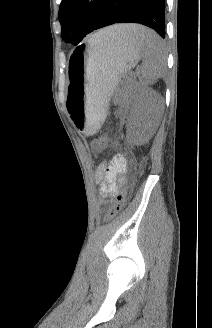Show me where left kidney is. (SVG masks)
<instances>
[{"label": "left kidney", "instance_id": "left-kidney-1", "mask_svg": "<svg viewBox=\"0 0 212 328\" xmlns=\"http://www.w3.org/2000/svg\"><path fill=\"white\" fill-rule=\"evenodd\" d=\"M162 110L161 96L151 89L142 90L134 100L128 119L130 138L135 143L148 141L156 131Z\"/></svg>", "mask_w": 212, "mask_h": 328}]
</instances>
